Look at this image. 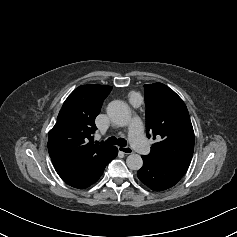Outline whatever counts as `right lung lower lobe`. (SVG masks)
Wrapping results in <instances>:
<instances>
[{"label":"right lung lower lobe","mask_w":237,"mask_h":237,"mask_svg":"<svg viewBox=\"0 0 237 237\" xmlns=\"http://www.w3.org/2000/svg\"><path fill=\"white\" fill-rule=\"evenodd\" d=\"M118 154L112 147L104 156L87 161H77L63 154L49 153L58 175L70 186L84 189L95 183L106 165Z\"/></svg>","instance_id":"obj_1"}]
</instances>
